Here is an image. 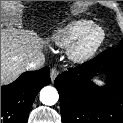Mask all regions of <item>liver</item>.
Here are the masks:
<instances>
[{
    "label": "liver",
    "instance_id": "obj_1",
    "mask_svg": "<svg viewBox=\"0 0 123 123\" xmlns=\"http://www.w3.org/2000/svg\"><path fill=\"white\" fill-rule=\"evenodd\" d=\"M39 55H43L42 42L35 32L1 27V85L14 81Z\"/></svg>",
    "mask_w": 123,
    "mask_h": 123
}]
</instances>
